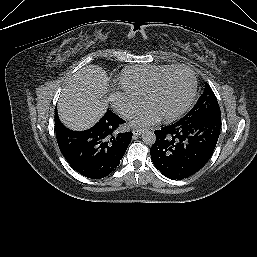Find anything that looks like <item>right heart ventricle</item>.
<instances>
[{"instance_id": "1", "label": "right heart ventricle", "mask_w": 257, "mask_h": 257, "mask_svg": "<svg viewBox=\"0 0 257 257\" xmlns=\"http://www.w3.org/2000/svg\"><path fill=\"white\" fill-rule=\"evenodd\" d=\"M171 65H146L126 68L120 77L122 90L144 98L154 81Z\"/></svg>"}]
</instances>
